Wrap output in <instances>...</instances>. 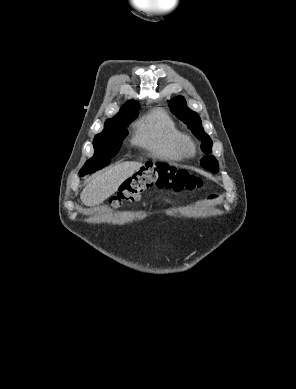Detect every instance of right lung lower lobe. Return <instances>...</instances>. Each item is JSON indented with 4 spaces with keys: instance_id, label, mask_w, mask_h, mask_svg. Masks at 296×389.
Instances as JSON below:
<instances>
[{
    "instance_id": "98d812e1",
    "label": "right lung lower lobe",
    "mask_w": 296,
    "mask_h": 389,
    "mask_svg": "<svg viewBox=\"0 0 296 389\" xmlns=\"http://www.w3.org/2000/svg\"><path fill=\"white\" fill-rule=\"evenodd\" d=\"M96 170H98V168H82L79 172V175L80 176H84L88 173H92V172H95Z\"/></svg>"
}]
</instances>
